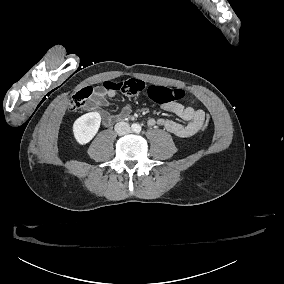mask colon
Here are the masks:
<instances>
[{
  "label": "colon",
  "instance_id": "1",
  "mask_svg": "<svg viewBox=\"0 0 284 284\" xmlns=\"http://www.w3.org/2000/svg\"><path fill=\"white\" fill-rule=\"evenodd\" d=\"M99 86L110 91H121L126 94H137L143 91V89L146 87V83L138 79L127 80L125 82L106 80L103 83L99 84ZM92 92L93 88L91 86L84 87L75 92L70 101L71 110H79L86 98H88ZM148 96L150 99L155 100L156 102L166 103L167 101H181L186 97V93L180 88H165L163 86H155L149 89ZM210 125L211 116H206L204 126ZM207 132L208 127H203L202 133Z\"/></svg>",
  "mask_w": 284,
  "mask_h": 284
}]
</instances>
